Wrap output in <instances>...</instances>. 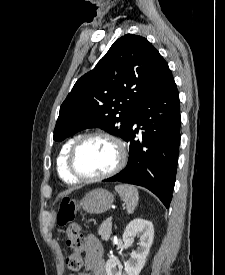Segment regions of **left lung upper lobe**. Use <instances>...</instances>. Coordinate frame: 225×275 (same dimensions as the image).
Returning a JSON list of instances; mask_svg holds the SVG:
<instances>
[{"mask_svg": "<svg viewBox=\"0 0 225 275\" xmlns=\"http://www.w3.org/2000/svg\"><path fill=\"white\" fill-rule=\"evenodd\" d=\"M169 72L167 62L146 38L133 34L119 38L62 103L54 140L92 127L124 139L145 99Z\"/></svg>", "mask_w": 225, "mask_h": 275, "instance_id": "5c2ea615", "label": "left lung upper lobe"}]
</instances>
